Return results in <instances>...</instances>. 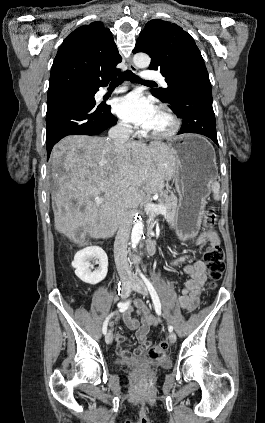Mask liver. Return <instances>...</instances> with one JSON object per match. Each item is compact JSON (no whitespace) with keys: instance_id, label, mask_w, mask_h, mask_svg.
Listing matches in <instances>:
<instances>
[{"instance_id":"liver-1","label":"liver","mask_w":265,"mask_h":423,"mask_svg":"<svg viewBox=\"0 0 265 423\" xmlns=\"http://www.w3.org/2000/svg\"><path fill=\"white\" fill-rule=\"evenodd\" d=\"M50 163L55 228L74 242L87 234L113 236L128 210L175 175V157L160 141H130L118 148L101 137L67 136L54 146ZM102 194L97 205L94 199Z\"/></svg>"}]
</instances>
